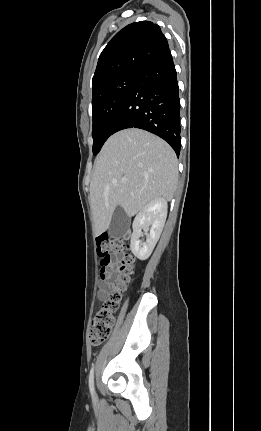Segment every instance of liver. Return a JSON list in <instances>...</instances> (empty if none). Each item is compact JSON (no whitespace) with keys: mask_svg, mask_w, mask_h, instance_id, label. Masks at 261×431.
Segmentation results:
<instances>
[{"mask_svg":"<svg viewBox=\"0 0 261 431\" xmlns=\"http://www.w3.org/2000/svg\"><path fill=\"white\" fill-rule=\"evenodd\" d=\"M177 184L176 154L163 139L137 128L113 134L95 160L90 183L95 235L109 228L118 206L132 217L155 199L170 201Z\"/></svg>","mask_w":261,"mask_h":431,"instance_id":"1","label":"liver"}]
</instances>
